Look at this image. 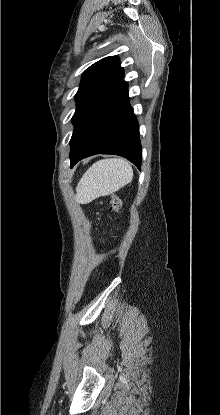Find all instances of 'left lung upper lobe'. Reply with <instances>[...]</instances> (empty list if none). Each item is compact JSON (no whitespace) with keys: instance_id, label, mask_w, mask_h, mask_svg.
Instances as JSON below:
<instances>
[{"instance_id":"left-lung-upper-lobe-1","label":"left lung upper lobe","mask_w":220,"mask_h":415,"mask_svg":"<svg viewBox=\"0 0 220 415\" xmlns=\"http://www.w3.org/2000/svg\"><path fill=\"white\" fill-rule=\"evenodd\" d=\"M123 77L124 70L120 66V60L117 56L103 58L85 70L82 75L80 87L76 93L77 108L72 117L74 131L71 141L83 116L98 96L113 81L119 80Z\"/></svg>"}]
</instances>
